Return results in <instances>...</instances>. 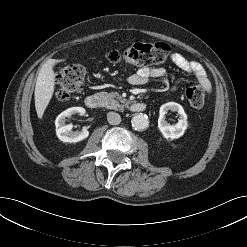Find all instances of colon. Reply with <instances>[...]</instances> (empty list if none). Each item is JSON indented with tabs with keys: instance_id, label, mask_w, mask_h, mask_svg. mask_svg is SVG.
Masks as SVG:
<instances>
[{
	"instance_id": "1",
	"label": "colon",
	"mask_w": 247,
	"mask_h": 247,
	"mask_svg": "<svg viewBox=\"0 0 247 247\" xmlns=\"http://www.w3.org/2000/svg\"><path fill=\"white\" fill-rule=\"evenodd\" d=\"M170 55V47L165 43H135L124 50H112L107 53L111 63L125 62L136 66H150L164 63ZM86 77L85 68L80 64H70L57 74L56 96L59 100H67L79 93ZM189 105L201 108L204 104L205 94L198 85L189 86L185 90Z\"/></svg>"
}]
</instances>
